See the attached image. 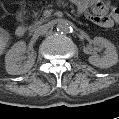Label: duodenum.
Instances as JSON below:
<instances>
[{"label": "duodenum", "instance_id": "410a0bca", "mask_svg": "<svg viewBox=\"0 0 119 119\" xmlns=\"http://www.w3.org/2000/svg\"><path fill=\"white\" fill-rule=\"evenodd\" d=\"M15 34L18 38H22L26 34V27L23 24H20L15 31Z\"/></svg>", "mask_w": 119, "mask_h": 119}]
</instances>
